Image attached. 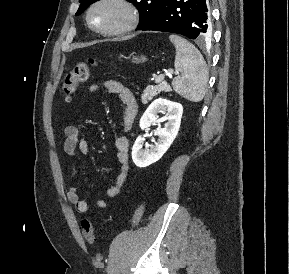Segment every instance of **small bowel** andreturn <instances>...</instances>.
<instances>
[{"label":"small bowel","mask_w":289,"mask_h":274,"mask_svg":"<svg viewBox=\"0 0 289 274\" xmlns=\"http://www.w3.org/2000/svg\"><path fill=\"white\" fill-rule=\"evenodd\" d=\"M104 89L108 92L117 94L125 106L123 127L125 130H129L133 124V121L137 115V102L133 92L125 86L123 83L116 80H108L103 83L102 86L93 84L88 87L89 92H97ZM64 152L71 159H75L80 154H90L89 143L80 138L79 129L75 125H68L64 128ZM115 149L117 154V160L119 162V171L115 178L114 183L105 190V196L113 198L117 196L125 185L129 172V140L127 136L121 135L116 139ZM77 173L75 164L73 165L71 177H74ZM67 199L71 202L78 213L84 214L88 211L89 204L85 199H80L77 187L72 186L67 191ZM95 205L99 209L108 208L110 203L105 199H98Z\"/></svg>","instance_id":"obj_1"}]
</instances>
